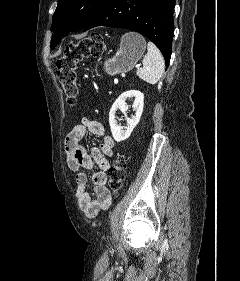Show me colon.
<instances>
[{
	"label": "colon",
	"mask_w": 240,
	"mask_h": 281,
	"mask_svg": "<svg viewBox=\"0 0 240 281\" xmlns=\"http://www.w3.org/2000/svg\"><path fill=\"white\" fill-rule=\"evenodd\" d=\"M105 52V42L98 33H93L66 47L57 59V77L63 88L66 101L74 105L78 97L77 68L81 60L89 56H101ZM125 161L117 158L108 171V186L113 194L119 192L125 179Z\"/></svg>",
	"instance_id": "obj_1"
}]
</instances>
